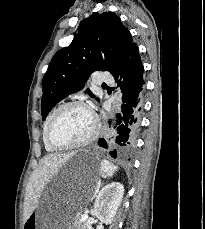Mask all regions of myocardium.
Segmentation results:
<instances>
[{"label": "myocardium", "instance_id": "myocardium-1", "mask_svg": "<svg viewBox=\"0 0 205 229\" xmlns=\"http://www.w3.org/2000/svg\"><path fill=\"white\" fill-rule=\"evenodd\" d=\"M70 107H81L85 110H87L90 115L93 118V129L91 131V133L83 140L76 142V143H71V144H64V145H60L57 144L53 138H52V130L54 128V125L56 124L58 118L60 117V115L68 108ZM100 130V121L98 116L96 115V113L84 102L82 101H69L66 102L64 104H62L61 106H59L57 108V110L54 112L48 127H47V131H46V140L47 143L49 144V146H51L53 149L55 150H66V149H74V148H79V147H83L89 143H91L98 135Z\"/></svg>", "mask_w": 205, "mask_h": 229}]
</instances>
